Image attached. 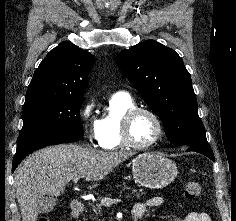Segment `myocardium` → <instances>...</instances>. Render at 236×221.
<instances>
[{"label":"myocardium","mask_w":236,"mask_h":221,"mask_svg":"<svg viewBox=\"0 0 236 221\" xmlns=\"http://www.w3.org/2000/svg\"><path fill=\"white\" fill-rule=\"evenodd\" d=\"M140 113L150 115L157 124V135L156 137L147 144H138L131 137V124L133 119ZM164 135V126L159 115L148 107L135 106L125 112L121 119L120 125V136L123 144L129 148L136 150H146L155 146L162 139Z\"/></svg>","instance_id":"obj_1"}]
</instances>
